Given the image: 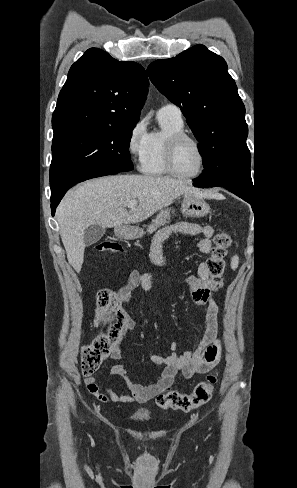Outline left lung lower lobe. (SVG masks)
Here are the masks:
<instances>
[{"label":"left lung lower lobe","instance_id":"1","mask_svg":"<svg viewBox=\"0 0 297 488\" xmlns=\"http://www.w3.org/2000/svg\"><path fill=\"white\" fill-rule=\"evenodd\" d=\"M194 186H196V185L194 184ZM221 187L228 189L229 191H231L232 193H234L235 195H237L238 197L242 198L243 200H245L246 202H248L252 205L253 200H254L253 194L242 191V190L237 189V188H234L232 186H228V185H223Z\"/></svg>","mask_w":297,"mask_h":488}]
</instances>
